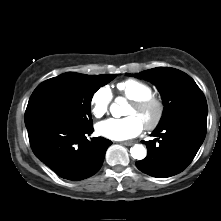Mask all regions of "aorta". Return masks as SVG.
<instances>
[{
	"label": "aorta",
	"mask_w": 221,
	"mask_h": 221,
	"mask_svg": "<svg viewBox=\"0 0 221 221\" xmlns=\"http://www.w3.org/2000/svg\"><path fill=\"white\" fill-rule=\"evenodd\" d=\"M120 109H121L120 106L116 103H113L110 107V111L114 116L116 115V113L120 112ZM130 153L131 156L137 160H142L146 157V149L141 144H135L133 147H131Z\"/></svg>",
	"instance_id": "aorta-1"
}]
</instances>
